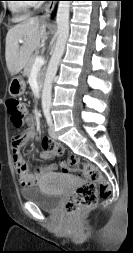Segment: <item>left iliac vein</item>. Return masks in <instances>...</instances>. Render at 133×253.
<instances>
[{"label":"left iliac vein","mask_w":133,"mask_h":253,"mask_svg":"<svg viewBox=\"0 0 133 253\" xmlns=\"http://www.w3.org/2000/svg\"><path fill=\"white\" fill-rule=\"evenodd\" d=\"M48 133H49V135H50L52 138H54V139L57 138V134H56V131H55V128H54V125H53V124L50 125V127H49V129H48Z\"/></svg>","instance_id":"1"}]
</instances>
